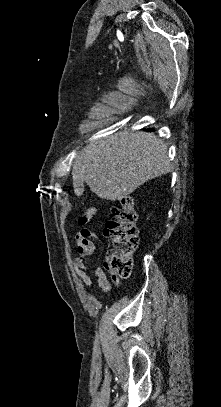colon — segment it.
<instances>
[{
  "label": "colon",
  "instance_id": "obj_1",
  "mask_svg": "<svg viewBox=\"0 0 221 407\" xmlns=\"http://www.w3.org/2000/svg\"><path fill=\"white\" fill-rule=\"evenodd\" d=\"M94 214L91 208L84 212L79 221L87 223ZM113 219L104 228V234L111 239L112 248L107 254L106 266L119 277H128L132 269V256L137 247V214L131 198H124L112 210ZM91 231L84 229L78 236L89 237Z\"/></svg>",
  "mask_w": 221,
  "mask_h": 407
}]
</instances>
